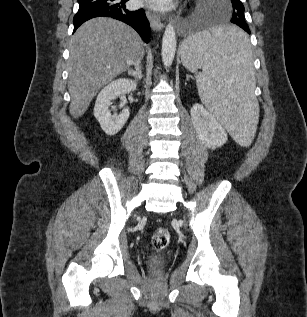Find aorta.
Masks as SVG:
<instances>
[{
    "label": "aorta",
    "mask_w": 307,
    "mask_h": 317,
    "mask_svg": "<svg viewBox=\"0 0 307 317\" xmlns=\"http://www.w3.org/2000/svg\"><path fill=\"white\" fill-rule=\"evenodd\" d=\"M177 41L175 29L171 23L166 26L162 39V62L164 66L170 67L173 63L176 53Z\"/></svg>",
    "instance_id": "aorta-1"
}]
</instances>
